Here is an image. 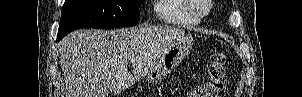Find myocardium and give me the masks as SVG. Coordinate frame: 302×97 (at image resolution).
<instances>
[{
	"instance_id": "f54148a6",
	"label": "myocardium",
	"mask_w": 302,
	"mask_h": 97,
	"mask_svg": "<svg viewBox=\"0 0 302 97\" xmlns=\"http://www.w3.org/2000/svg\"><path fill=\"white\" fill-rule=\"evenodd\" d=\"M188 11L198 19H202L208 15L212 8V0H204L205 10L199 11L196 8L195 0H184Z\"/></svg>"
}]
</instances>
